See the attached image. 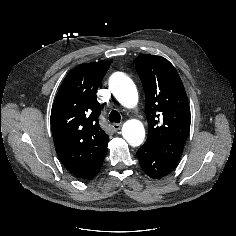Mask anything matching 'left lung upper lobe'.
Here are the masks:
<instances>
[{
  "label": "left lung upper lobe",
  "instance_id": "obj_1",
  "mask_svg": "<svg viewBox=\"0 0 236 236\" xmlns=\"http://www.w3.org/2000/svg\"><path fill=\"white\" fill-rule=\"evenodd\" d=\"M136 70L146 97L149 125L145 146L178 162L190 130V107L173 65L161 56L139 55Z\"/></svg>",
  "mask_w": 236,
  "mask_h": 236
}]
</instances>
